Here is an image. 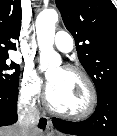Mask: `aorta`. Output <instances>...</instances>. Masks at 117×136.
I'll use <instances>...</instances> for the list:
<instances>
[{"label": "aorta", "instance_id": "762f6f07", "mask_svg": "<svg viewBox=\"0 0 117 136\" xmlns=\"http://www.w3.org/2000/svg\"><path fill=\"white\" fill-rule=\"evenodd\" d=\"M58 14L54 9L42 11L36 19L37 41L40 50V69L51 70L61 64V58L53 48L55 24Z\"/></svg>", "mask_w": 117, "mask_h": 136}]
</instances>
